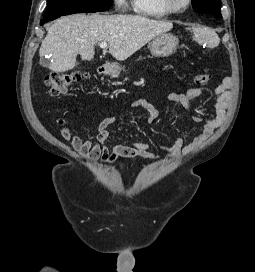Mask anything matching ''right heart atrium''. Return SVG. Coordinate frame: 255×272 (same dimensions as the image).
<instances>
[{
  "mask_svg": "<svg viewBox=\"0 0 255 272\" xmlns=\"http://www.w3.org/2000/svg\"><path fill=\"white\" fill-rule=\"evenodd\" d=\"M114 5L118 11H126L128 10L130 3L128 0H114Z\"/></svg>",
  "mask_w": 255,
  "mask_h": 272,
  "instance_id": "1",
  "label": "right heart atrium"
}]
</instances>
